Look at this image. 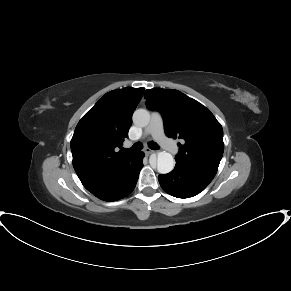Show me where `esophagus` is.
Masks as SVG:
<instances>
[{"mask_svg":"<svg viewBox=\"0 0 291 291\" xmlns=\"http://www.w3.org/2000/svg\"><path fill=\"white\" fill-rule=\"evenodd\" d=\"M154 151L153 150H151L150 148H145L144 149V153L146 154V155H150V154H152Z\"/></svg>","mask_w":291,"mask_h":291,"instance_id":"esophagus-1","label":"esophagus"}]
</instances>
